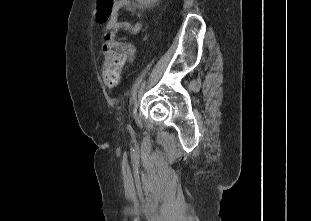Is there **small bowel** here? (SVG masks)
<instances>
[{"label": "small bowel", "mask_w": 311, "mask_h": 221, "mask_svg": "<svg viewBox=\"0 0 311 221\" xmlns=\"http://www.w3.org/2000/svg\"><path fill=\"white\" fill-rule=\"evenodd\" d=\"M138 2V0H115L108 28L114 33H119L123 30L131 33H138L142 28V14L139 10ZM123 10L134 16L137 19V22L135 24H131L126 21H120L118 16ZM122 49L125 53L127 62H132L135 53L134 46L130 43H126L122 46Z\"/></svg>", "instance_id": "1"}]
</instances>
